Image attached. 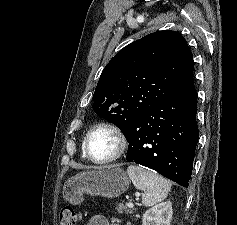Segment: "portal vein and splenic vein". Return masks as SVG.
<instances>
[{
    "instance_id": "portal-vein-and-splenic-vein-1",
    "label": "portal vein and splenic vein",
    "mask_w": 237,
    "mask_h": 225,
    "mask_svg": "<svg viewBox=\"0 0 237 225\" xmlns=\"http://www.w3.org/2000/svg\"><path fill=\"white\" fill-rule=\"evenodd\" d=\"M127 206H128V208H133V207H134V205H133L132 202H128V203H127Z\"/></svg>"
}]
</instances>
